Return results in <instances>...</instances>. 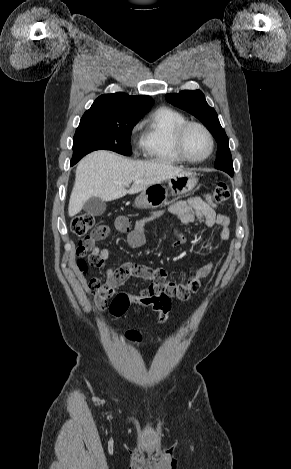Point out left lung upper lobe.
Wrapping results in <instances>:
<instances>
[{
  "label": "left lung upper lobe",
  "mask_w": 291,
  "mask_h": 469,
  "mask_svg": "<svg viewBox=\"0 0 291 469\" xmlns=\"http://www.w3.org/2000/svg\"><path fill=\"white\" fill-rule=\"evenodd\" d=\"M165 98L174 106L194 115L206 126L218 143L215 168L233 176L228 137L220 125L216 111L207 104L204 94L200 90H184L178 94H166Z\"/></svg>",
  "instance_id": "obj_1"
}]
</instances>
